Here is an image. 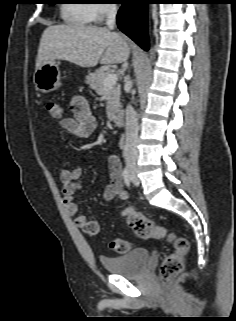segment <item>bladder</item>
Segmentation results:
<instances>
[{
  "mask_svg": "<svg viewBox=\"0 0 236 321\" xmlns=\"http://www.w3.org/2000/svg\"><path fill=\"white\" fill-rule=\"evenodd\" d=\"M149 260L147 248H135L121 256L101 257L105 270L124 277H138L144 271Z\"/></svg>",
  "mask_w": 236,
  "mask_h": 321,
  "instance_id": "obj_1",
  "label": "bladder"
}]
</instances>
